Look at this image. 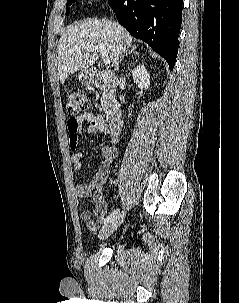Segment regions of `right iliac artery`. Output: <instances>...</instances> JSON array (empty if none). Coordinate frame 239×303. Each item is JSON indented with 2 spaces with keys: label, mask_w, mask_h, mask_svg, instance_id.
Wrapping results in <instances>:
<instances>
[{
  "label": "right iliac artery",
  "mask_w": 239,
  "mask_h": 303,
  "mask_svg": "<svg viewBox=\"0 0 239 303\" xmlns=\"http://www.w3.org/2000/svg\"><path fill=\"white\" fill-rule=\"evenodd\" d=\"M119 213V209H115L109 216L104 219V224L109 223L113 220Z\"/></svg>",
  "instance_id": "obj_1"
}]
</instances>
